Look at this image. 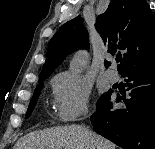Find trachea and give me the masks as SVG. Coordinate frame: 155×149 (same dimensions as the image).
<instances>
[{
    "label": "trachea",
    "instance_id": "trachea-1",
    "mask_svg": "<svg viewBox=\"0 0 155 149\" xmlns=\"http://www.w3.org/2000/svg\"><path fill=\"white\" fill-rule=\"evenodd\" d=\"M120 60H121V58H120V57H117V58H116V61H117V62H119Z\"/></svg>",
    "mask_w": 155,
    "mask_h": 149
}]
</instances>
